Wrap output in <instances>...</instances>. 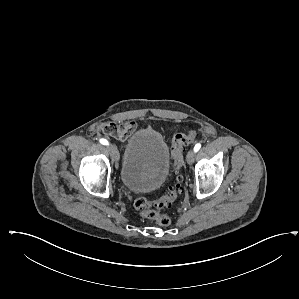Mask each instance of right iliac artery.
Returning a JSON list of instances; mask_svg holds the SVG:
<instances>
[{"label":"right iliac artery","mask_w":299,"mask_h":299,"mask_svg":"<svg viewBox=\"0 0 299 299\" xmlns=\"http://www.w3.org/2000/svg\"><path fill=\"white\" fill-rule=\"evenodd\" d=\"M99 142H100L101 144H103V145H109V142H108L106 139H104V138H101V139L99 140Z\"/></svg>","instance_id":"82829eb1"}]
</instances>
